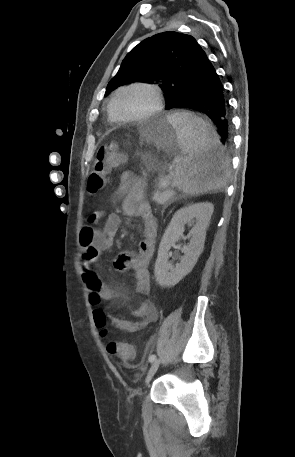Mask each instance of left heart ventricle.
Wrapping results in <instances>:
<instances>
[{
    "label": "left heart ventricle",
    "instance_id": "left-heart-ventricle-1",
    "mask_svg": "<svg viewBox=\"0 0 295 457\" xmlns=\"http://www.w3.org/2000/svg\"><path fill=\"white\" fill-rule=\"evenodd\" d=\"M154 105L151 92L143 88L122 91L114 102V112L119 117H134L150 110Z\"/></svg>",
    "mask_w": 295,
    "mask_h": 457
}]
</instances>
